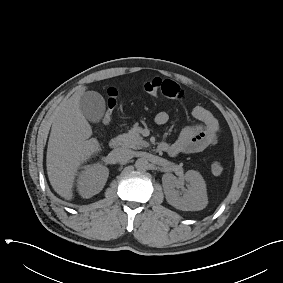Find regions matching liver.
<instances>
[{
    "mask_svg": "<svg viewBox=\"0 0 283 283\" xmlns=\"http://www.w3.org/2000/svg\"><path fill=\"white\" fill-rule=\"evenodd\" d=\"M80 88L62 103L55 115L48 141L46 166L51 186L66 200L73 198L75 176L81 164L100 150L92 128L80 109Z\"/></svg>",
    "mask_w": 283,
    "mask_h": 283,
    "instance_id": "liver-1",
    "label": "liver"
}]
</instances>
